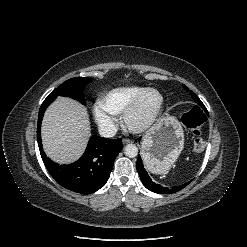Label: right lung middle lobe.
I'll use <instances>...</instances> for the list:
<instances>
[{"instance_id": "right-lung-middle-lobe-1", "label": "right lung middle lobe", "mask_w": 247, "mask_h": 247, "mask_svg": "<svg viewBox=\"0 0 247 247\" xmlns=\"http://www.w3.org/2000/svg\"><path fill=\"white\" fill-rule=\"evenodd\" d=\"M91 81V78L86 77L71 78L59 85L57 89H54L47 98L56 99L57 96L72 97L73 99L85 105L86 101L83 92L85 86Z\"/></svg>"}]
</instances>
